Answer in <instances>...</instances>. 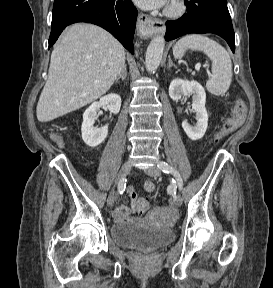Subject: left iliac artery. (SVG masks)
I'll return each instance as SVG.
<instances>
[{"mask_svg":"<svg viewBox=\"0 0 273 288\" xmlns=\"http://www.w3.org/2000/svg\"><path fill=\"white\" fill-rule=\"evenodd\" d=\"M158 168L166 174H172L176 179L179 190L180 191L182 190L183 180H182V177L177 170L172 168L168 163H166L164 161H161L158 163ZM173 182H174V180H173Z\"/></svg>","mask_w":273,"mask_h":288,"instance_id":"left-iliac-artery-1","label":"left iliac artery"}]
</instances>
